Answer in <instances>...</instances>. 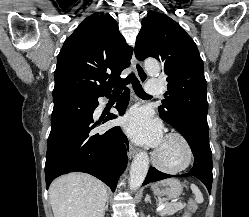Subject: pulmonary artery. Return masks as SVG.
Listing matches in <instances>:
<instances>
[{
  "mask_svg": "<svg viewBox=\"0 0 249 217\" xmlns=\"http://www.w3.org/2000/svg\"><path fill=\"white\" fill-rule=\"evenodd\" d=\"M161 83L158 80L152 79L147 82L146 89L149 96H158L161 93Z\"/></svg>",
  "mask_w": 249,
  "mask_h": 217,
  "instance_id": "obj_1",
  "label": "pulmonary artery"
}]
</instances>
